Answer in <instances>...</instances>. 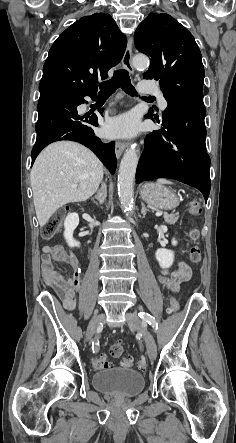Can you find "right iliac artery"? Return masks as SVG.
Listing matches in <instances>:
<instances>
[{
	"label": "right iliac artery",
	"instance_id": "obj_1",
	"mask_svg": "<svg viewBox=\"0 0 236 443\" xmlns=\"http://www.w3.org/2000/svg\"><path fill=\"white\" fill-rule=\"evenodd\" d=\"M98 348H99V343L98 342H93L92 343V350H93V352H97L98 351Z\"/></svg>",
	"mask_w": 236,
	"mask_h": 443
}]
</instances>
